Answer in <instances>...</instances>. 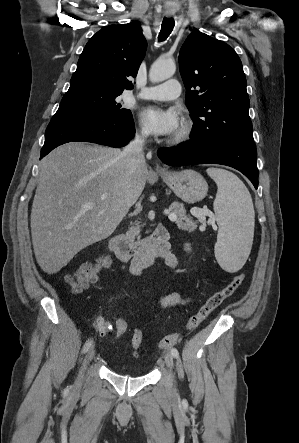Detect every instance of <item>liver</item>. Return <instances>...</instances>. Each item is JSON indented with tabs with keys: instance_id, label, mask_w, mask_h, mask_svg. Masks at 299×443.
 Masks as SVG:
<instances>
[{
	"instance_id": "liver-1",
	"label": "liver",
	"mask_w": 299,
	"mask_h": 443,
	"mask_svg": "<svg viewBox=\"0 0 299 443\" xmlns=\"http://www.w3.org/2000/svg\"><path fill=\"white\" fill-rule=\"evenodd\" d=\"M116 148L70 142L40 163L31 211L32 244L53 274L85 247L110 236L141 195L146 164L132 169ZM91 208H84L86 204Z\"/></svg>"
}]
</instances>
